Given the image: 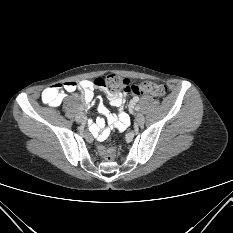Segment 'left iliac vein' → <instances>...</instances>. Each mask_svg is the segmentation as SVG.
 <instances>
[{"mask_svg": "<svg viewBox=\"0 0 233 233\" xmlns=\"http://www.w3.org/2000/svg\"><path fill=\"white\" fill-rule=\"evenodd\" d=\"M144 122H145L144 116H143L141 113H138V114L136 115V123H137L138 125H143Z\"/></svg>", "mask_w": 233, "mask_h": 233, "instance_id": "4c4485c4", "label": "left iliac vein"}]
</instances>
